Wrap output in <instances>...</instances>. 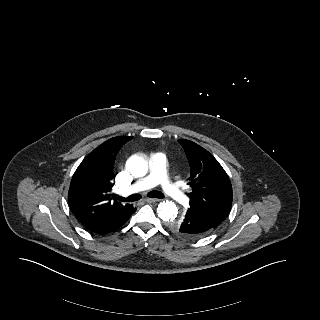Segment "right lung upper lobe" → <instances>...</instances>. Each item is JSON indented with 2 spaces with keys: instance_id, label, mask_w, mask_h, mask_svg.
<instances>
[{
  "instance_id": "right-lung-upper-lobe-1",
  "label": "right lung upper lobe",
  "mask_w": 320,
  "mask_h": 320,
  "mask_svg": "<svg viewBox=\"0 0 320 320\" xmlns=\"http://www.w3.org/2000/svg\"><path fill=\"white\" fill-rule=\"evenodd\" d=\"M131 139L119 136L105 141L86 156L75 171L68 201L73 214L85 228L123 213L131 206L121 204L110 193L115 179L114 159L120 148Z\"/></svg>"
}]
</instances>
